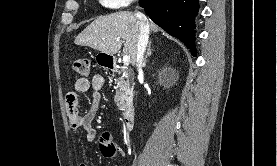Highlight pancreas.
I'll use <instances>...</instances> for the list:
<instances>
[{
	"label": "pancreas",
	"mask_w": 277,
	"mask_h": 166,
	"mask_svg": "<svg viewBox=\"0 0 277 166\" xmlns=\"http://www.w3.org/2000/svg\"><path fill=\"white\" fill-rule=\"evenodd\" d=\"M118 73L122 74V77L116 81L118 89L116 91L114 101L120 108H122L126 101L132 99L134 84L131 81L126 68L123 67Z\"/></svg>",
	"instance_id": "1"
}]
</instances>
